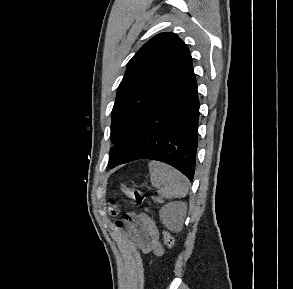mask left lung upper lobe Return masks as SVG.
I'll return each instance as SVG.
<instances>
[{"label": "left lung upper lobe", "mask_w": 293, "mask_h": 289, "mask_svg": "<svg viewBox=\"0 0 293 289\" xmlns=\"http://www.w3.org/2000/svg\"><path fill=\"white\" fill-rule=\"evenodd\" d=\"M192 58L187 45L174 33H160L146 42L128 62L112 110L109 168L123 164L126 155L117 145L132 124L187 70Z\"/></svg>", "instance_id": "left-lung-upper-lobe-1"}]
</instances>
